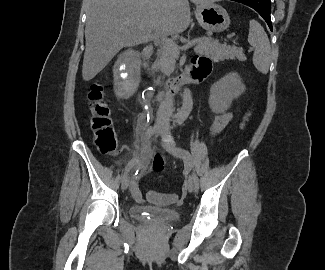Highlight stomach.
Listing matches in <instances>:
<instances>
[{
	"mask_svg": "<svg viewBox=\"0 0 325 270\" xmlns=\"http://www.w3.org/2000/svg\"><path fill=\"white\" fill-rule=\"evenodd\" d=\"M195 16L200 26L208 31L221 32L230 24L226 10L214 3L199 4Z\"/></svg>",
	"mask_w": 325,
	"mask_h": 270,
	"instance_id": "0dacf381",
	"label": "stomach"
}]
</instances>
